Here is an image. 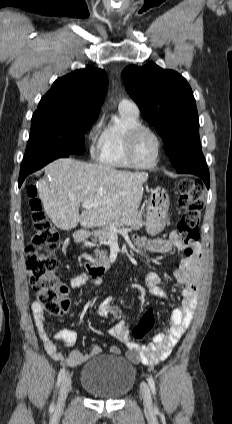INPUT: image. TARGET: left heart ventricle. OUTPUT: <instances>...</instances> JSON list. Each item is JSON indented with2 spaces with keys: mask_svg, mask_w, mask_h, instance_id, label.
<instances>
[{
  "mask_svg": "<svg viewBox=\"0 0 232 424\" xmlns=\"http://www.w3.org/2000/svg\"><path fill=\"white\" fill-rule=\"evenodd\" d=\"M134 158L137 163L147 165L156 158L157 142L148 132L141 133L134 144Z\"/></svg>",
  "mask_w": 232,
  "mask_h": 424,
  "instance_id": "b2bd125f",
  "label": "left heart ventricle"
}]
</instances>
